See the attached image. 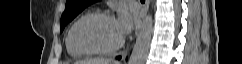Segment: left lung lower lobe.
<instances>
[{"label":"left lung lower lobe","mask_w":242,"mask_h":64,"mask_svg":"<svg viewBox=\"0 0 242 64\" xmlns=\"http://www.w3.org/2000/svg\"><path fill=\"white\" fill-rule=\"evenodd\" d=\"M120 58H121L120 56L117 57V59H120Z\"/></svg>","instance_id":"obj_1"}]
</instances>
